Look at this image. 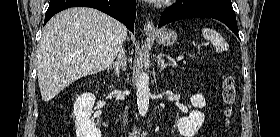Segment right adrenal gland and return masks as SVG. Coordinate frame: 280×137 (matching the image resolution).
I'll return each mask as SVG.
<instances>
[{
    "mask_svg": "<svg viewBox=\"0 0 280 137\" xmlns=\"http://www.w3.org/2000/svg\"><path fill=\"white\" fill-rule=\"evenodd\" d=\"M124 50L121 49L118 53V58L113 63V70L115 76L119 79L120 78V70L124 69Z\"/></svg>",
    "mask_w": 280,
    "mask_h": 137,
    "instance_id": "right-adrenal-gland-1",
    "label": "right adrenal gland"
}]
</instances>
